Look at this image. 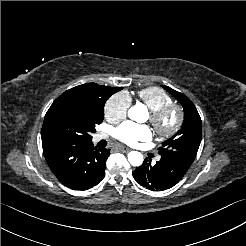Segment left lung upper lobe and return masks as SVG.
Returning <instances> with one entry per match:
<instances>
[{
	"label": "left lung upper lobe",
	"mask_w": 246,
	"mask_h": 246,
	"mask_svg": "<svg viewBox=\"0 0 246 246\" xmlns=\"http://www.w3.org/2000/svg\"><path fill=\"white\" fill-rule=\"evenodd\" d=\"M183 106L184 120L181 129L162 143L159 154L188 170L193 163L201 142V118L194 104L184 94L164 86Z\"/></svg>",
	"instance_id": "1"
}]
</instances>
